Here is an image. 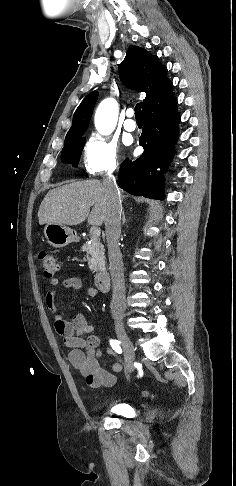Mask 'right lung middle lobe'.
<instances>
[{
	"instance_id": "1",
	"label": "right lung middle lobe",
	"mask_w": 236,
	"mask_h": 486,
	"mask_svg": "<svg viewBox=\"0 0 236 486\" xmlns=\"http://www.w3.org/2000/svg\"><path fill=\"white\" fill-rule=\"evenodd\" d=\"M84 143L85 138H80L74 142L66 143L62 150V161L71 163L74 167H77L84 147Z\"/></svg>"
}]
</instances>
